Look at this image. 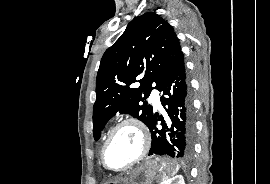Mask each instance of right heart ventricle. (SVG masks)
<instances>
[{
	"mask_svg": "<svg viewBox=\"0 0 270 184\" xmlns=\"http://www.w3.org/2000/svg\"><path fill=\"white\" fill-rule=\"evenodd\" d=\"M109 131H110V130L108 129V130H107V134L109 133Z\"/></svg>",
	"mask_w": 270,
	"mask_h": 184,
	"instance_id": "1",
	"label": "right heart ventricle"
}]
</instances>
